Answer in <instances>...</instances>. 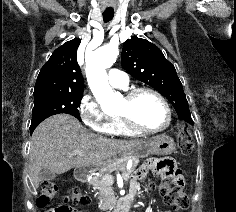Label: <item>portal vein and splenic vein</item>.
I'll return each instance as SVG.
<instances>
[{"mask_svg": "<svg viewBox=\"0 0 236 212\" xmlns=\"http://www.w3.org/2000/svg\"><path fill=\"white\" fill-rule=\"evenodd\" d=\"M72 155H81V153L79 151H73L72 152ZM124 179L127 177V176H122ZM104 180L109 182V183H112L113 182V177L111 175H106L104 176Z\"/></svg>", "mask_w": 236, "mask_h": 212, "instance_id": "obj_1", "label": "portal vein and splenic vein"}]
</instances>
